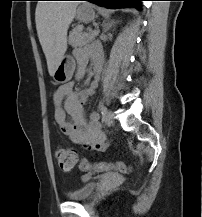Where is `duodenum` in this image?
<instances>
[{
    "label": "duodenum",
    "mask_w": 202,
    "mask_h": 217,
    "mask_svg": "<svg viewBox=\"0 0 202 217\" xmlns=\"http://www.w3.org/2000/svg\"><path fill=\"white\" fill-rule=\"evenodd\" d=\"M95 78L99 77V68H94Z\"/></svg>",
    "instance_id": "410a0bca"
}]
</instances>
